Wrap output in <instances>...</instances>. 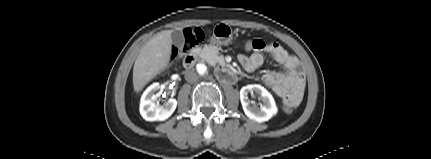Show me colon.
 <instances>
[{"mask_svg": "<svg viewBox=\"0 0 431 159\" xmlns=\"http://www.w3.org/2000/svg\"><path fill=\"white\" fill-rule=\"evenodd\" d=\"M201 38H202V33L200 31L195 30L193 32H188L186 34V41H185V45H184V50H186L188 47L196 44L199 40H201ZM253 44H254L253 39H246V44H244V51L247 53L250 52ZM177 53H178V50L175 49L174 55H176ZM284 109L288 113L292 112V110H293L292 107H285V106H284Z\"/></svg>", "mask_w": 431, "mask_h": 159, "instance_id": "obj_1", "label": "colon"}]
</instances>
